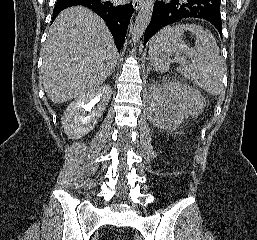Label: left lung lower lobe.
Returning <instances> with one entry per match:
<instances>
[{
	"label": "left lung lower lobe",
	"instance_id": "1",
	"mask_svg": "<svg viewBox=\"0 0 257 240\" xmlns=\"http://www.w3.org/2000/svg\"><path fill=\"white\" fill-rule=\"evenodd\" d=\"M186 18L202 19L212 24L222 38L220 0H165L156 1L144 44L161 28Z\"/></svg>",
	"mask_w": 257,
	"mask_h": 240
}]
</instances>
